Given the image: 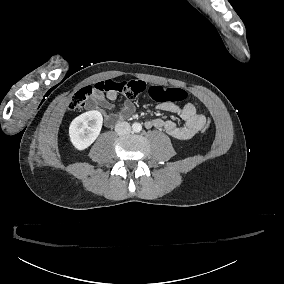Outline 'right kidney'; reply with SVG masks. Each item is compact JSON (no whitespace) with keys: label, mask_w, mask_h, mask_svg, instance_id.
Listing matches in <instances>:
<instances>
[{"label":"right kidney","mask_w":284,"mask_h":284,"mask_svg":"<svg viewBox=\"0 0 284 284\" xmlns=\"http://www.w3.org/2000/svg\"><path fill=\"white\" fill-rule=\"evenodd\" d=\"M103 123L102 114L93 110L76 117L70 124L69 135L78 150L89 147L100 134Z\"/></svg>","instance_id":"right-kidney-1"}]
</instances>
